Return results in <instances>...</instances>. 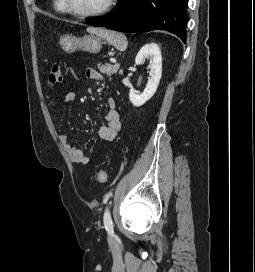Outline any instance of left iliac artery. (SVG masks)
<instances>
[{
    "mask_svg": "<svg viewBox=\"0 0 255 272\" xmlns=\"http://www.w3.org/2000/svg\"><path fill=\"white\" fill-rule=\"evenodd\" d=\"M112 197V192H109L105 198H104V202L105 203H109L110 202V198ZM103 222H104V226L105 229L107 230V232L109 234H113V222L111 219V214L110 211L106 208L105 212H104V217H103Z\"/></svg>",
    "mask_w": 255,
    "mask_h": 272,
    "instance_id": "left-iliac-artery-1",
    "label": "left iliac artery"
}]
</instances>
